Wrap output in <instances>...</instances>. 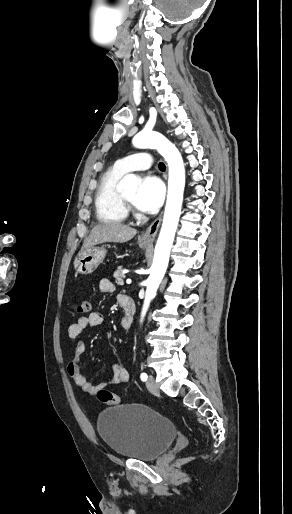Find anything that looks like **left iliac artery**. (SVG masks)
<instances>
[{
	"label": "left iliac artery",
	"mask_w": 292,
	"mask_h": 514,
	"mask_svg": "<svg viewBox=\"0 0 292 514\" xmlns=\"http://www.w3.org/2000/svg\"><path fill=\"white\" fill-rule=\"evenodd\" d=\"M140 378H141V380H142V381H146V380H147V378H148V376H147V374H146V373H142V374L140 375Z\"/></svg>",
	"instance_id": "obj_1"
}]
</instances>
